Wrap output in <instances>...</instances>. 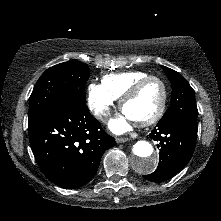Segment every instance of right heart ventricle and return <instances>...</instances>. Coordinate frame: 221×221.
<instances>
[{
  "label": "right heart ventricle",
  "mask_w": 221,
  "mask_h": 221,
  "mask_svg": "<svg viewBox=\"0 0 221 221\" xmlns=\"http://www.w3.org/2000/svg\"><path fill=\"white\" fill-rule=\"evenodd\" d=\"M144 71H126L103 76L102 85L114 99L121 97L140 79L148 76Z\"/></svg>",
  "instance_id": "e07e8e85"
}]
</instances>
